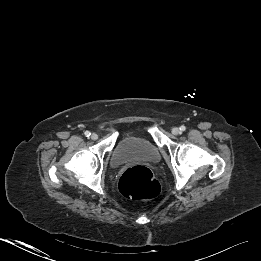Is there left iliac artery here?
I'll return each mask as SVG.
<instances>
[{"label": "left iliac artery", "mask_w": 261, "mask_h": 261, "mask_svg": "<svg viewBox=\"0 0 261 261\" xmlns=\"http://www.w3.org/2000/svg\"><path fill=\"white\" fill-rule=\"evenodd\" d=\"M180 130H181V131H185V130H186V127H185L184 125H182V126L180 127Z\"/></svg>", "instance_id": "1"}]
</instances>
